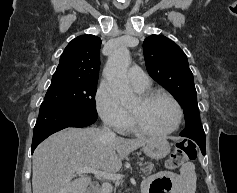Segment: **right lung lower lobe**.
<instances>
[{"mask_svg": "<svg viewBox=\"0 0 237 193\" xmlns=\"http://www.w3.org/2000/svg\"><path fill=\"white\" fill-rule=\"evenodd\" d=\"M97 120V116L78 115L62 109L40 107L33 131L32 153L44 139L67 127H85Z\"/></svg>", "mask_w": 237, "mask_h": 193, "instance_id": "right-lung-lower-lobe-1", "label": "right lung lower lobe"}]
</instances>
